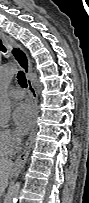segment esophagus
<instances>
[{"label": "esophagus", "instance_id": "esophagus-1", "mask_svg": "<svg viewBox=\"0 0 89 203\" xmlns=\"http://www.w3.org/2000/svg\"><path fill=\"white\" fill-rule=\"evenodd\" d=\"M0 38L7 44L13 58L20 66V68L24 71L27 77L28 87L30 89V94H31V101L34 108V115H35L34 123L31 129L30 135L28 137V140L26 141L24 151L17 157L15 162L16 170L20 171L23 168L29 156L32 139L36 130V118L38 116V106H37L38 94H37L35 85L31 79L32 65L28 54L10 36L6 35L4 32L0 33Z\"/></svg>", "mask_w": 89, "mask_h": 203}]
</instances>
